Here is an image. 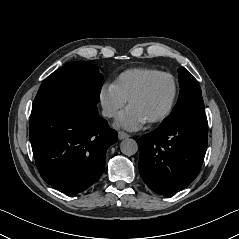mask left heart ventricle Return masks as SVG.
Returning a JSON list of instances; mask_svg holds the SVG:
<instances>
[{
	"label": "left heart ventricle",
	"mask_w": 239,
	"mask_h": 239,
	"mask_svg": "<svg viewBox=\"0 0 239 239\" xmlns=\"http://www.w3.org/2000/svg\"><path fill=\"white\" fill-rule=\"evenodd\" d=\"M171 95V81L168 78H159L148 87L142 96L134 100L129 106L147 121L166 108Z\"/></svg>",
	"instance_id": "b2bd125f"
}]
</instances>
